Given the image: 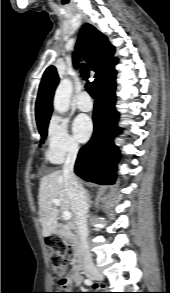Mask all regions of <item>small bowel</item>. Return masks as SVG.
<instances>
[{"instance_id": "1", "label": "small bowel", "mask_w": 170, "mask_h": 293, "mask_svg": "<svg viewBox=\"0 0 170 293\" xmlns=\"http://www.w3.org/2000/svg\"><path fill=\"white\" fill-rule=\"evenodd\" d=\"M68 281L71 284L76 285L77 287L83 286L82 277L80 276V274L76 270H73L68 274Z\"/></svg>"}]
</instances>
